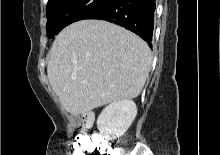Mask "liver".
<instances>
[{"label":"liver","mask_w":220,"mask_h":155,"mask_svg":"<svg viewBox=\"0 0 220 155\" xmlns=\"http://www.w3.org/2000/svg\"><path fill=\"white\" fill-rule=\"evenodd\" d=\"M152 53L134 33L102 20H81L55 38L48 79L73 116L136 98L151 69Z\"/></svg>","instance_id":"6515ba94"}]
</instances>
